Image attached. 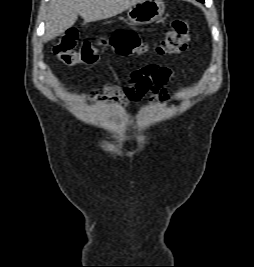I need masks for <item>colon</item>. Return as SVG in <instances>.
<instances>
[{
  "mask_svg": "<svg viewBox=\"0 0 254 267\" xmlns=\"http://www.w3.org/2000/svg\"><path fill=\"white\" fill-rule=\"evenodd\" d=\"M190 24L187 19H176L158 44L149 47L136 34L129 31H118L109 38L95 43L84 41L78 43L76 30H67L54 47V51L63 65L76 67L94 64L100 54L110 49L118 55H142L152 51L158 55H173L184 51L189 42Z\"/></svg>",
  "mask_w": 254,
  "mask_h": 267,
  "instance_id": "1",
  "label": "colon"
}]
</instances>
